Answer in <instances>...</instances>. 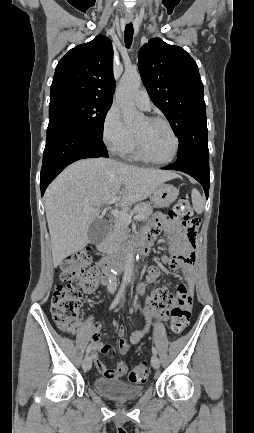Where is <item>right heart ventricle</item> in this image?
Instances as JSON below:
<instances>
[{
  "instance_id": "1",
  "label": "right heart ventricle",
  "mask_w": 254,
  "mask_h": 433,
  "mask_svg": "<svg viewBox=\"0 0 254 433\" xmlns=\"http://www.w3.org/2000/svg\"><path fill=\"white\" fill-rule=\"evenodd\" d=\"M124 156L128 157L131 160H140L141 158L139 157L135 145L133 143V145L124 153Z\"/></svg>"
}]
</instances>
